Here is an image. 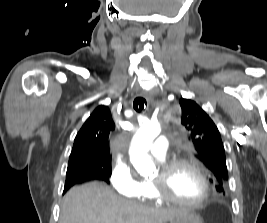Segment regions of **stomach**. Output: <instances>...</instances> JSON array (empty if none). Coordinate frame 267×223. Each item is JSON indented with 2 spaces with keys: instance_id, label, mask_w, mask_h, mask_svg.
I'll return each instance as SVG.
<instances>
[{
  "instance_id": "0dacf381",
  "label": "stomach",
  "mask_w": 267,
  "mask_h": 223,
  "mask_svg": "<svg viewBox=\"0 0 267 223\" xmlns=\"http://www.w3.org/2000/svg\"><path fill=\"white\" fill-rule=\"evenodd\" d=\"M170 223H203V221L201 217L194 212L184 209L183 213L170 220Z\"/></svg>"
}]
</instances>
